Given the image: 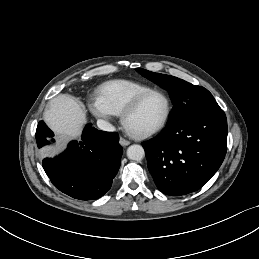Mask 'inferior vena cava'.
Segmentation results:
<instances>
[{
    "label": "inferior vena cava",
    "instance_id": "1",
    "mask_svg": "<svg viewBox=\"0 0 259 259\" xmlns=\"http://www.w3.org/2000/svg\"><path fill=\"white\" fill-rule=\"evenodd\" d=\"M97 126L100 130H103V131H108V132L115 131V127L103 119L97 120Z\"/></svg>",
    "mask_w": 259,
    "mask_h": 259
}]
</instances>
